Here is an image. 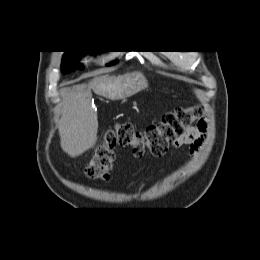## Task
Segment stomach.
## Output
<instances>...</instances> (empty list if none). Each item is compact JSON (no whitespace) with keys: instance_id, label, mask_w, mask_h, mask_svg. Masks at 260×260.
I'll return each mask as SVG.
<instances>
[{"instance_id":"obj_1","label":"stomach","mask_w":260,"mask_h":260,"mask_svg":"<svg viewBox=\"0 0 260 260\" xmlns=\"http://www.w3.org/2000/svg\"><path fill=\"white\" fill-rule=\"evenodd\" d=\"M147 87V80L141 74L120 76L111 89V98L113 100L125 99Z\"/></svg>"}]
</instances>
